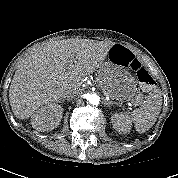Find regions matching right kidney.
Instances as JSON below:
<instances>
[{"label": "right kidney", "instance_id": "1", "mask_svg": "<svg viewBox=\"0 0 178 178\" xmlns=\"http://www.w3.org/2000/svg\"><path fill=\"white\" fill-rule=\"evenodd\" d=\"M63 114V108L57 104H47L31 116L32 127L38 131H49L56 128Z\"/></svg>", "mask_w": 178, "mask_h": 178}]
</instances>
